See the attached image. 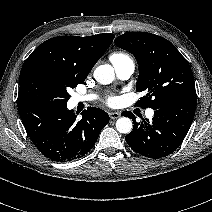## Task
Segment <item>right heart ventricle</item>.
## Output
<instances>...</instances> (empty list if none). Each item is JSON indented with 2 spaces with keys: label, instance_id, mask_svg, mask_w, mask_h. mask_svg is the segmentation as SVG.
<instances>
[{
  "label": "right heart ventricle",
  "instance_id": "right-heart-ventricle-1",
  "mask_svg": "<svg viewBox=\"0 0 212 212\" xmlns=\"http://www.w3.org/2000/svg\"><path fill=\"white\" fill-rule=\"evenodd\" d=\"M127 58H129V57L126 54L121 53V52L113 53L110 56V60L112 61V63H116V62L122 61Z\"/></svg>",
  "mask_w": 212,
  "mask_h": 212
}]
</instances>
